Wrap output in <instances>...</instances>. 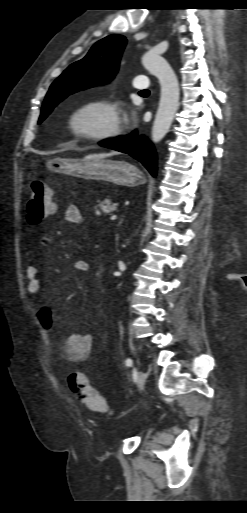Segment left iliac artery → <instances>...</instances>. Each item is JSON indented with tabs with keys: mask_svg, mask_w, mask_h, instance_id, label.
Instances as JSON below:
<instances>
[{
	"mask_svg": "<svg viewBox=\"0 0 247 513\" xmlns=\"http://www.w3.org/2000/svg\"><path fill=\"white\" fill-rule=\"evenodd\" d=\"M132 363H133V362H132V360H131L130 358H128V359L126 360V365H127V366H131V365H132Z\"/></svg>",
	"mask_w": 247,
	"mask_h": 513,
	"instance_id": "44dca946",
	"label": "left iliac artery"
}]
</instances>
